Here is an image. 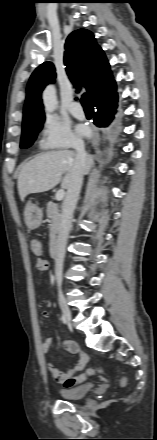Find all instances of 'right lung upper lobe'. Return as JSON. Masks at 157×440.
I'll return each instance as SVG.
<instances>
[{"label":"right lung upper lobe","instance_id":"cb5924a9","mask_svg":"<svg viewBox=\"0 0 157 440\" xmlns=\"http://www.w3.org/2000/svg\"><path fill=\"white\" fill-rule=\"evenodd\" d=\"M65 49L64 62L69 78L76 87L86 89L94 104L116 92L110 65L90 31H73L66 40ZM55 76V68L50 62L41 64L32 73L27 85L23 126L44 122L41 92L48 83L54 82Z\"/></svg>","mask_w":157,"mask_h":440}]
</instances>
